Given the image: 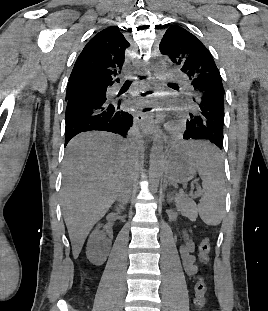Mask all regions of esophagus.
<instances>
[{"mask_svg": "<svg viewBox=\"0 0 268 311\" xmlns=\"http://www.w3.org/2000/svg\"><path fill=\"white\" fill-rule=\"evenodd\" d=\"M154 80V77H153ZM152 90V86L148 85L146 88L147 93L150 92ZM146 92L142 93L143 97L147 96ZM136 120L137 122L140 124L143 132L153 138V136H158L157 130H156V123L154 121V119L152 118V116L148 115L146 112L143 111V108H140L137 112H136Z\"/></svg>", "mask_w": 268, "mask_h": 311, "instance_id": "esophagus-1", "label": "esophagus"}]
</instances>
